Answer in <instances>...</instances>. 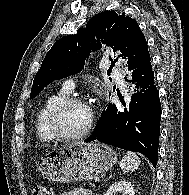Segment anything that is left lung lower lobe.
Wrapping results in <instances>:
<instances>
[{
  "instance_id": "obj_1",
  "label": "left lung lower lobe",
  "mask_w": 189,
  "mask_h": 195,
  "mask_svg": "<svg viewBox=\"0 0 189 195\" xmlns=\"http://www.w3.org/2000/svg\"><path fill=\"white\" fill-rule=\"evenodd\" d=\"M127 76L126 81L131 83L129 100L108 104L93 134L85 142L100 141L140 152L155 167L158 159L161 104L151 59L145 60Z\"/></svg>"
}]
</instances>
